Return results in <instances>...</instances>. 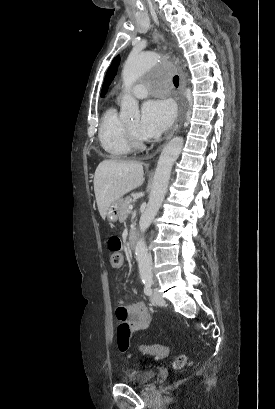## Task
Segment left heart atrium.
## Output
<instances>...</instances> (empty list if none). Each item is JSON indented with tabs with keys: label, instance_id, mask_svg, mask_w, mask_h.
Instances as JSON below:
<instances>
[{
	"label": "left heart atrium",
	"instance_id": "left-heart-atrium-1",
	"mask_svg": "<svg viewBox=\"0 0 275 409\" xmlns=\"http://www.w3.org/2000/svg\"><path fill=\"white\" fill-rule=\"evenodd\" d=\"M174 117L172 104L165 100H149L142 108L139 133L145 138L160 136L171 124Z\"/></svg>",
	"mask_w": 275,
	"mask_h": 409
}]
</instances>
